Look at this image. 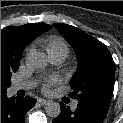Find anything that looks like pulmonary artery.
<instances>
[{
    "label": "pulmonary artery",
    "instance_id": "pulmonary-artery-1",
    "mask_svg": "<svg viewBox=\"0 0 123 123\" xmlns=\"http://www.w3.org/2000/svg\"><path fill=\"white\" fill-rule=\"evenodd\" d=\"M66 57H67V54L65 52H55V53L50 54L51 61L54 64H60V63H62L65 60ZM33 85H34V83L33 82H30V81L16 82V83H14L12 85L11 90L13 92H16V91L22 90V89H29ZM77 105H78V102L77 101H74L72 103V108H76Z\"/></svg>",
    "mask_w": 123,
    "mask_h": 123
}]
</instances>
